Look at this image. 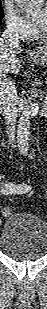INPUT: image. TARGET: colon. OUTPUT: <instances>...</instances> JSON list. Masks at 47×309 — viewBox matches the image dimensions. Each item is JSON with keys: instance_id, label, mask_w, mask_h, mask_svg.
<instances>
[{"instance_id": "obj_1", "label": "colon", "mask_w": 47, "mask_h": 309, "mask_svg": "<svg viewBox=\"0 0 47 309\" xmlns=\"http://www.w3.org/2000/svg\"><path fill=\"white\" fill-rule=\"evenodd\" d=\"M2 214L6 217L10 216L12 214V210L10 208H4L2 210Z\"/></svg>"}]
</instances>
